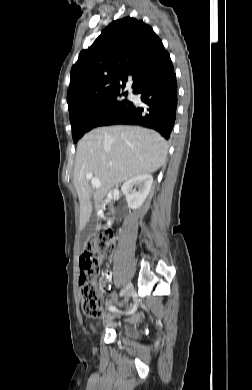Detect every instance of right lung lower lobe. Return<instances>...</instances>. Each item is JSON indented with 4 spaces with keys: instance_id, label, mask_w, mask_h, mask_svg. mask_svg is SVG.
Wrapping results in <instances>:
<instances>
[{
    "instance_id": "right-lung-lower-lobe-1",
    "label": "right lung lower lobe",
    "mask_w": 252,
    "mask_h": 390,
    "mask_svg": "<svg viewBox=\"0 0 252 390\" xmlns=\"http://www.w3.org/2000/svg\"><path fill=\"white\" fill-rule=\"evenodd\" d=\"M135 94H141L146 108L132 106L107 125H141L158 131L169 139L176 120L178 105L177 81L174 71L166 76L149 80Z\"/></svg>"
}]
</instances>
